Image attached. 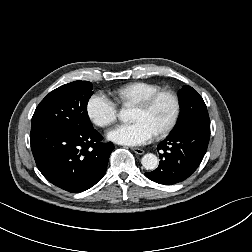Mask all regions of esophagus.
Wrapping results in <instances>:
<instances>
[{
    "mask_svg": "<svg viewBox=\"0 0 252 252\" xmlns=\"http://www.w3.org/2000/svg\"><path fill=\"white\" fill-rule=\"evenodd\" d=\"M131 149H132V151H134L138 155L144 154V150L141 148L132 147Z\"/></svg>",
    "mask_w": 252,
    "mask_h": 252,
    "instance_id": "obj_1",
    "label": "esophagus"
}]
</instances>
